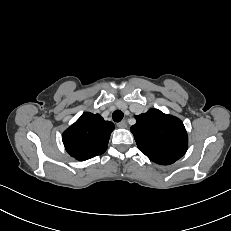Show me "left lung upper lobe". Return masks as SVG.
<instances>
[{
  "instance_id": "1",
  "label": "left lung upper lobe",
  "mask_w": 231,
  "mask_h": 231,
  "mask_svg": "<svg viewBox=\"0 0 231 231\" xmlns=\"http://www.w3.org/2000/svg\"><path fill=\"white\" fill-rule=\"evenodd\" d=\"M135 118L137 122L131 132L139 150L150 160L170 165L186 153L188 136L180 119L157 109H149Z\"/></svg>"
}]
</instances>
